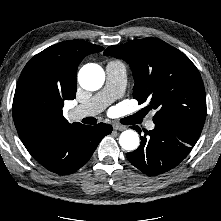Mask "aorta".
Wrapping results in <instances>:
<instances>
[{"label":"aorta","mask_w":221,"mask_h":221,"mask_svg":"<svg viewBox=\"0 0 221 221\" xmlns=\"http://www.w3.org/2000/svg\"><path fill=\"white\" fill-rule=\"evenodd\" d=\"M78 81L81 87L89 91L101 88L105 81L103 69L94 63L84 65L78 73ZM120 146L128 151H133L139 146V136L134 130H126L120 134Z\"/></svg>","instance_id":"obj_1"}]
</instances>
